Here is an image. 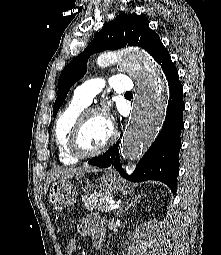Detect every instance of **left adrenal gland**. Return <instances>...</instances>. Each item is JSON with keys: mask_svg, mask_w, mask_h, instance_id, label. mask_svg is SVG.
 Here are the masks:
<instances>
[{"mask_svg": "<svg viewBox=\"0 0 221 255\" xmlns=\"http://www.w3.org/2000/svg\"><path fill=\"white\" fill-rule=\"evenodd\" d=\"M139 197H140V195L135 196L134 200H132L130 203H129V201L127 200V201L125 202V205H124V204H121V206L117 209L116 216L118 217V216H120V214H121L122 212H126L131 206H133V204H134L135 202H137V200L139 199Z\"/></svg>", "mask_w": 221, "mask_h": 255, "instance_id": "left-adrenal-gland-1", "label": "left adrenal gland"}]
</instances>
